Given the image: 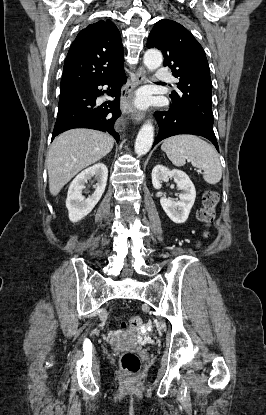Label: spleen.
<instances>
[{"mask_svg":"<svg viewBox=\"0 0 266 415\" xmlns=\"http://www.w3.org/2000/svg\"><path fill=\"white\" fill-rule=\"evenodd\" d=\"M177 167L189 160L194 167L204 171L203 178L209 184H216L222 178V167L216 150L206 141L194 135H177L168 138L161 146Z\"/></svg>","mask_w":266,"mask_h":415,"instance_id":"spleen-1","label":"spleen"}]
</instances>
